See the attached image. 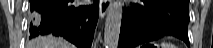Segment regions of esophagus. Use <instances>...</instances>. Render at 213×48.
<instances>
[{"label":"esophagus","instance_id":"1","mask_svg":"<svg viewBox=\"0 0 213 48\" xmlns=\"http://www.w3.org/2000/svg\"><path fill=\"white\" fill-rule=\"evenodd\" d=\"M110 5H111V0H101L100 1V19L101 20L106 15Z\"/></svg>","mask_w":213,"mask_h":48}]
</instances>
